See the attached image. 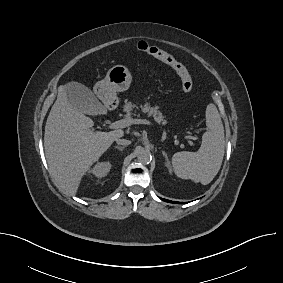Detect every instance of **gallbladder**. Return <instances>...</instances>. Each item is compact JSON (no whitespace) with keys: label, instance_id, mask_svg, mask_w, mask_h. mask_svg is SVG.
I'll return each instance as SVG.
<instances>
[{"label":"gallbladder","instance_id":"bac80fb5","mask_svg":"<svg viewBox=\"0 0 283 283\" xmlns=\"http://www.w3.org/2000/svg\"><path fill=\"white\" fill-rule=\"evenodd\" d=\"M65 92L69 104L81 113L98 114L104 111V107L98 102L92 91L80 83H68L65 86Z\"/></svg>","mask_w":283,"mask_h":283}]
</instances>
